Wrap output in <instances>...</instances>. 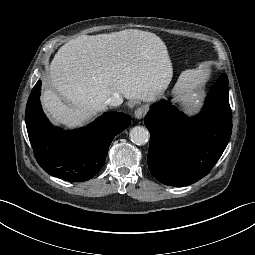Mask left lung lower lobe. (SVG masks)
Returning a JSON list of instances; mask_svg holds the SVG:
<instances>
[{
    "label": "left lung lower lobe",
    "mask_w": 255,
    "mask_h": 255,
    "mask_svg": "<svg viewBox=\"0 0 255 255\" xmlns=\"http://www.w3.org/2000/svg\"><path fill=\"white\" fill-rule=\"evenodd\" d=\"M228 84L227 76H220L196 117H186L169 102L151 107L145 117L150 131L148 165L158 181L190 185L206 176L221 157L232 132Z\"/></svg>",
    "instance_id": "0a47b994"
}]
</instances>
